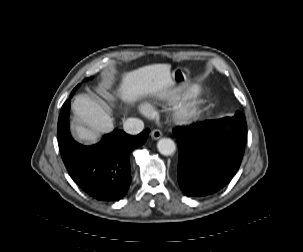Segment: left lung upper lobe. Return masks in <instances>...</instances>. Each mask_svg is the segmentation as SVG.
<instances>
[{
    "instance_id": "5c2ea615",
    "label": "left lung upper lobe",
    "mask_w": 303,
    "mask_h": 252,
    "mask_svg": "<svg viewBox=\"0 0 303 252\" xmlns=\"http://www.w3.org/2000/svg\"><path fill=\"white\" fill-rule=\"evenodd\" d=\"M232 118L235 119V118H245V117H244V115L241 112L238 111V112H236L235 116L232 117Z\"/></svg>"
}]
</instances>
